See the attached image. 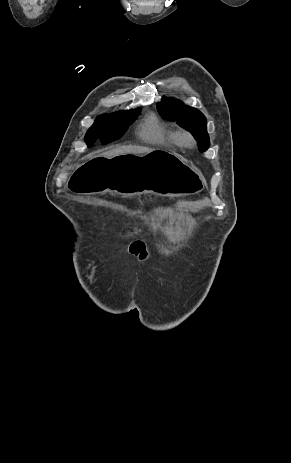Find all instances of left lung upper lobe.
Instances as JSON below:
<instances>
[{
    "label": "left lung upper lobe",
    "instance_id": "left-lung-upper-lobe-1",
    "mask_svg": "<svg viewBox=\"0 0 291 463\" xmlns=\"http://www.w3.org/2000/svg\"><path fill=\"white\" fill-rule=\"evenodd\" d=\"M157 110L163 118L176 121L190 131L198 141L201 151L208 148L210 141L207 133L206 118L199 110L187 106L177 99L166 97L157 103Z\"/></svg>",
    "mask_w": 291,
    "mask_h": 463
}]
</instances>
